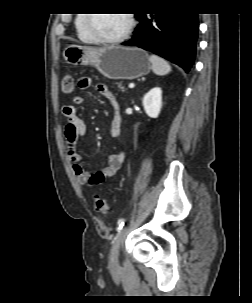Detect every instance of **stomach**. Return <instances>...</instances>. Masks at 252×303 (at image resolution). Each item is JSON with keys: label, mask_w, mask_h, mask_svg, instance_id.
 <instances>
[{"label": "stomach", "mask_w": 252, "mask_h": 303, "mask_svg": "<svg viewBox=\"0 0 252 303\" xmlns=\"http://www.w3.org/2000/svg\"><path fill=\"white\" fill-rule=\"evenodd\" d=\"M63 57L73 66L93 65L103 76L113 80H133L148 74L152 68L148 54L137 47L98 48L71 44L64 49Z\"/></svg>", "instance_id": "obj_1"}]
</instances>
